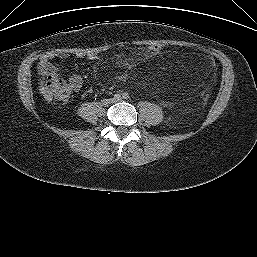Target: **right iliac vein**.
Wrapping results in <instances>:
<instances>
[{
    "label": "right iliac vein",
    "mask_w": 257,
    "mask_h": 257,
    "mask_svg": "<svg viewBox=\"0 0 257 257\" xmlns=\"http://www.w3.org/2000/svg\"><path fill=\"white\" fill-rule=\"evenodd\" d=\"M112 102H113V100H112V99L107 101V103H112Z\"/></svg>",
    "instance_id": "63e3f726"
}]
</instances>
